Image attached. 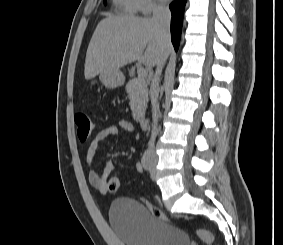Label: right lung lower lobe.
I'll return each mask as SVG.
<instances>
[{
  "mask_svg": "<svg viewBox=\"0 0 283 245\" xmlns=\"http://www.w3.org/2000/svg\"><path fill=\"white\" fill-rule=\"evenodd\" d=\"M185 3L186 0H177L170 5V10L172 14L171 39L176 51L178 49L181 36Z\"/></svg>",
  "mask_w": 283,
  "mask_h": 245,
  "instance_id": "right-lung-lower-lobe-1",
  "label": "right lung lower lobe"
}]
</instances>
